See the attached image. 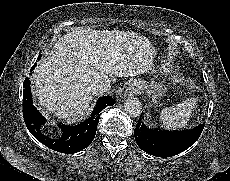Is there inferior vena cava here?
Segmentation results:
<instances>
[{
	"mask_svg": "<svg viewBox=\"0 0 230 181\" xmlns=\"http://www.w3.org/2000/svg\"><path fill=\"white\" fill-rule=\"evenodd\" d=\"M110 81H97L91 86V92L94 96L102 95L105 92L110 91Z\"/></svg>",
	"mask_w": 230,
	"mask_h": 181,
	"instance_id": "1",
	"label": "inferior vena cava"
}]
</instances>
